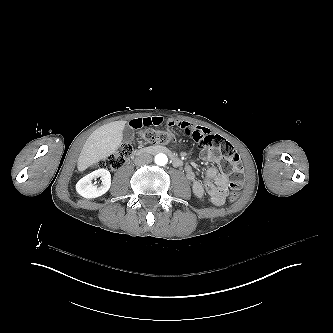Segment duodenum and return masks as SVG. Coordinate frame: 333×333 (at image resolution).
Returning <instances> with one entry per match:
<instances>
[{
	"instance_id": "1",
	"label": "duodenum",
	"mask_w": 333,
	"mask_h": 333,
	"mask_svg": "<svg viewBox=\"0 0 333 333\" xmlns=\"http://www.w3.org/2000/svg\"><path fill=\"white\" fill-rule=\"evenodd\" d=\"M159 153L166 154L171 159V161L175 167H180L182 165V161L180 158H178L167 147L161 146V145L142 147L135 152L134 156L137 157V156H141L144 154H159Z\"/></svg>"
}]
</instances>
